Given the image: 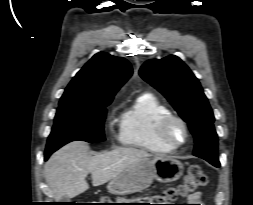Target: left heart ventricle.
Segmentation results:
<instances>
[{
    "instance_id": "left-heart-ventricle-1",
    "label": "left heart ventricle",
    "mask_w": 253,
    "mask_h": 205,
    "mask_svg": "<svg viewBox=\"0 0 253 205\" xmlns=\"http://www.w3.org/2000/svg\"><path fill=\"white\" fill-rule=\"evenodd\" d=\"M170 135L174 140H181L183 138L182 128L178 124L173 125Z\"/></svg>"
}]
</instances>
